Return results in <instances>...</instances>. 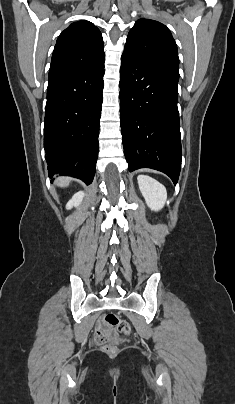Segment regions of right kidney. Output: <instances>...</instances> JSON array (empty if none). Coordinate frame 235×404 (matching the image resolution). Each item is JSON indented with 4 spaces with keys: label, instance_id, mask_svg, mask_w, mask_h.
Instances as JSON below:
<instances>
[{
    "label": "right kidney",
    "instance_id": "1",
    "mask_svg": "<svg viewBox=\"0 0 235 404\" xmlns=\"http://www.w3.org/2000/svg\"><path fill=\"white\" fill-rule=\"evenodd\" d=\"M84 195L85 194L83 191H79L76 194H74L73 197L67 203L66 208L71 209L72 207H78L81 204Z\"/></svg>",
    "mask_w": 235,
    "mask_h": 404
}]
</instances>
